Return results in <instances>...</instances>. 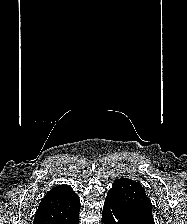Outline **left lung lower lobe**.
<instances>
[{
	"label": "left lung lower lobe",
	"instance_id": "obj_1",
	"mask_svg": "<svg viewBox=\"0 0 187 224\" xmlns=\"http://www.w3.org/2000/svg\"><path fill=\"white\" fill-rule=\"evenodd\" d=\"M103 224H149L146 221L133 218L123 209L119 201L108 193L102 212Z\"/></svg>",
	"mask_w": 187,
	"mask_h": 224
}]
</instances>
